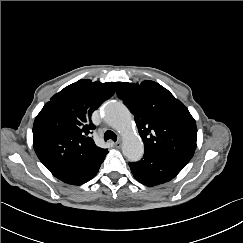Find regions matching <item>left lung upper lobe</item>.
I'll list each match as a JSON object with an SVG mask.
<instances>
[{
	"mask_svg": "<svg viewBox=\"0 0 243 243\" xmlns=\"http://www.w3.org/2000/svg\"><path fill=\"white\" fill-rule=\"evenodd\" d=\"M117 95L132 114L144 149L192 158L196 149V122L188 109L154 81L140 85L118 82Z\"/></svg>",
	"mask_w": 243,
	"mask_h": 243,
	"instance_id": "obj_1",
	"label": "left lung upper lobe"
}]
</instances>
